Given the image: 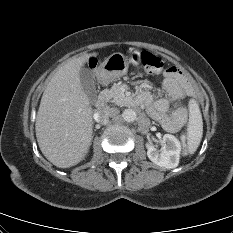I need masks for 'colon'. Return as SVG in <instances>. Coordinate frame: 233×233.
Instances as JSON below:
<instances>
[{
    "mask_svg": "<svg viewBox=\"0 0 233 233\" xmlns=\"http://www.w3.org/2000/svg\"><path fill=\"white\" fill-rule=\"evenodd\" d=\"M140 58H141V62H142V65L144 67V70L148 74L158 75L163 71L164 62L160 57H158L150 52L144 51L141 53ZM185 141H186V139H185V137H183L182 142L185 143ZM184 150H185V152L187 151L186 148Z\"/></svg>",
    "mask_w": 233,
    "mask_h": 233,
    "instance_id": "1",
    "label": "colon"
}]
</instances>
